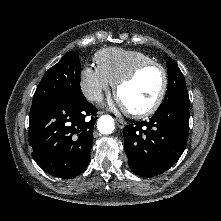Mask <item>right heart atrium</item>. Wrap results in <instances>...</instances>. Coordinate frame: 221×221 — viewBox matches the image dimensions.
Segmentation results:
<instances>
[{
    "instance_id": "1",
    "label": "right heart atrium",
    "mask_w": 221,
    "mask_h": 221,
    "mask_svg": "<svg viewBox=\"0 0 221 221\" xmlns=\"http://www.w3.org/2000/svg\"><path fill=\"white\" fill-rule=\"evenodd\" d=\"M79 86L83 96L93 101L107 91L112 84L97 68L86 66L81 71Z\"/></svg>"
}]
</instances>
